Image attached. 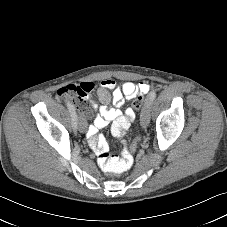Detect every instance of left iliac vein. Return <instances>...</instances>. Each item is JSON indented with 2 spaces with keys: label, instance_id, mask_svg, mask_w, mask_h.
<instances>
[{
  "label": "left iliac vein",
  "instance_id": "1",
  "mask_svg": "<svg viewBox=\"0 0 227 227\" xmlns=\"http://www.w3.org/2000/svg\"><path fill=\"white\" fill-rule=\"evenodd\" d=\"M151 104L152 102L147 99L141 112L140 123L144 128H146L150 122Z\"/></svg>",
  "mask_w": 227,
  "mask_h": 227
}]
</instances>
